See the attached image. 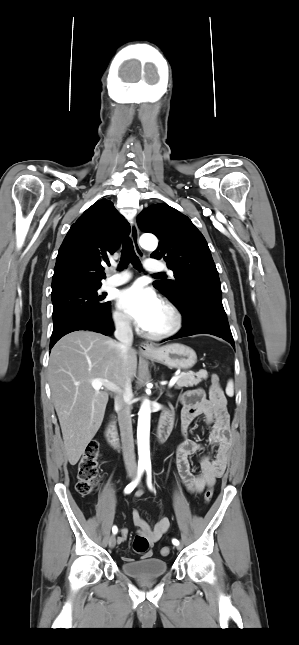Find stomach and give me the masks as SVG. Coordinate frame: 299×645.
<instances>
[{
    "label": "stomach",
    "instance_id": "obj_1",
    "mask_svg": "<svg viewBox=\"0 0 299 645\" xmlns=\"http://www.w3.org/2000/svg\"><path fill=\"white\" fill-rule=\"evenodd\" d=\"M146 358L164 364L169 368L189 369L197 362L195 351L183 344H170L158 348Z\"/></svg>",
    "mask_w": 299,
    "mask_h": 645
}]
</instances>
